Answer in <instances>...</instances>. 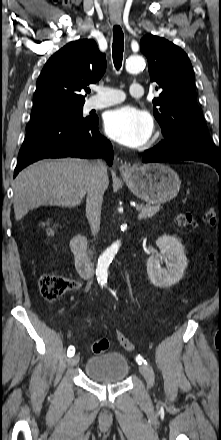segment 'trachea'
Segmentation results:
<instances>
[{
	"instance_id": "3493384b",
	"label": "trachea",
	"mask_w": 221,
	"mask_h": 440,
	"mask_svg": "<svg viewBox=\"0 0 221 440\" xmlns=\"http://www.w3.org/2000/svg\"><path fill=\"white\" fill-rule=\"evenodd\" d=\"M124 50V34L119 25L113 27V44H112V56L113 63L117 70L120 69L123 59Z\"/></svg>"
}]
</instances>
